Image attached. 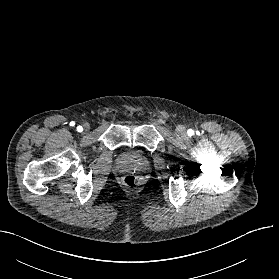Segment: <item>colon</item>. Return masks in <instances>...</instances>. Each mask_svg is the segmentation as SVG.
Masks as SVG:
<instances>
[{
	"instance_id": "colon-1",
	"label": "colon",
	"mask_w": 279,
	"mask_h": 279,
	"mask_svg": "<svg viewBox=\"0 0 279 279\" xmlns=\"http://www.w3.org/2000/svg\"><path fill=\"white\" fill-rule=\"evenodd\" d=\"M123 184L131 189H134L140 185V177L135 174H129L122 180Z\"/></svg>"
}]
</instances>
